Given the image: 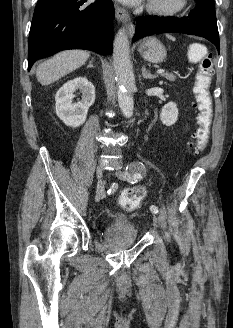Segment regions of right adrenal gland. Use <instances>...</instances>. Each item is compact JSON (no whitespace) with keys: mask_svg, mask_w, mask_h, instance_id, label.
I'll use <instances>...</instances> for the list:
<instances>
[{"mask_svg":"<svg viewBox=\"0 0 233 328\" xmlns=\"http://www.w3.org/2000/svg\"><path fill=\"white\" fill-rule=\"evenodd\" d=\"M94 59L92 58V60L89 62V65L87 66V68H92L93 67V64H92V61H93Z\"/></svg>","mask_w":233,"mask_h":328,"instance_id":"obj_1","label":"right adrenal gland"}]
</instances>
